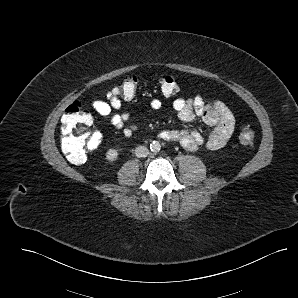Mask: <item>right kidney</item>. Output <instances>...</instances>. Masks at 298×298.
<instances>
[{
    "mask_svg": "<svg viewBox=\"0 0 298 298\" xmlns=\"http://www.w3.org/2000/svg\"><path fill=\"white\" fill-rule=\"evenodd\" d=\"M118 157V150L116 149H109L106 153V159L108 161H114Z\"/></svg>",
    "mask_w": 298,
    "mask_h": 298,
    "instance_id": "obj_1",
    "label": "right kidney"
}]
</instances>
